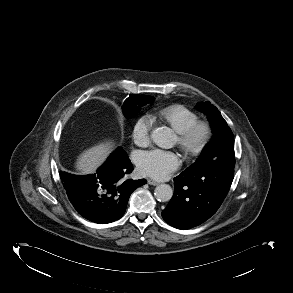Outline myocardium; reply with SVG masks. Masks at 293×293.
<instances>
[{
  "label": "myocardium",
  "mask_w": 293,
  "mask_h": 293,
  "mask_svg": "<svg viewBox=\"0 0 293 293\" xmlns=\"http://www.w3.org/2000/svg\"><path fill=\"white\" fill-rule=\"evenodd\" d=\"M212 138V127L206 121H196L178 133V145L189 156L199 155Z\"/></svg>",
  "instance_id": "myocardium-1"
}]
</instances>
